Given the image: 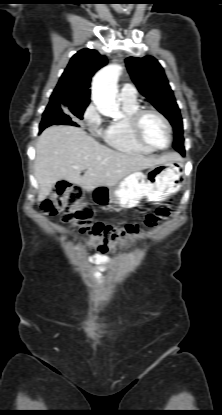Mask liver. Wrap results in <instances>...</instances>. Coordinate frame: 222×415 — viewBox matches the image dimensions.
<instances>
[{
	"label": "liver",
	"mask_w": 222,
	"mask_h": 415,
	"mask_svg": "<svg viewBox=\"0 0 222 415\" xmlns=\"http://www.w3.org/2000/svg\"><path fill=\"white\" fill-rule=\"evenodd\" d=\"M179 159L180 155L176 152L144 156L114 151L80 128L54 125L41 133L36 145L34 173L39 184L37 200H45L54 184L61 179L90 192L99 186L112 187L134 172ZM83 170L86 172L81 176Z\"/></svg>",
	"instance_id": "1"
}]
</instances>
